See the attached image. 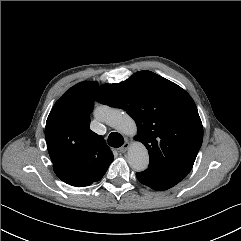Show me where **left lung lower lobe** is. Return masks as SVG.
Segmentation results:
<instances>
[{
  "label": "left lung lower lobe",
  "instance_id": "1",
  "mask_svg": "<svg viewBox=\"0 0 241 241\" xmlns=\"http://www.w3.org/2000/svg\"><path fill=\"white\" fill-rule=\"evenodd\" d=\"M136 176L142 184L154 190H167L182 180L181 178L150 168H147L143 172L136 173Z\"/></svg>",
  "mask_w": 241,
  "mask_h": 241
}]
</instances>
